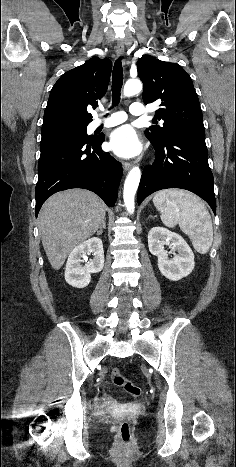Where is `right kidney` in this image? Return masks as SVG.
Here are the masks:
<instances>
[{"label": "right kidney", "instance_id": "1", "mask_svg": "<svg viewBox=\"0 0 236 467\" xmlns=\"http://www.w3.org/2000/svg\"><path fill=\"white\" fill-rule=\"evenodd\" d=\"M85 254H92L93 259L82 265L81 258ZM103 267V243L100 238L93 237L76 246L70 253L65 268V280L73 287L84 288L91 281V273H98Z\"/></svg>", "mask_w": 236, "mask_h": 467}]
</instances>
